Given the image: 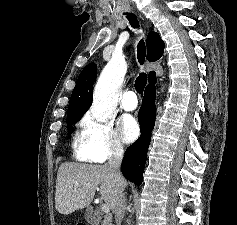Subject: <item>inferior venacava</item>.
Wrapping results in <instances>:
<instances>
[{"label": "inferior vena cava", "instance_id": "602c4592", "mask_svg": "<svg viewBox=\"0 0 237 225\" xmlns=\"http://www.w3.org/2000/svg\"><path fill=\"white\" fill-rule=\"evenodd\" d=\"M111 150L112 155L109 157L107 167L111 171L118 188L114 214L116 225H121L126 209V199L123 193L124 179L120 172V165L123 159V146L116 142L112 144Z\"/></svg>", "mask_w": 237, "mask_h": 225}]
</instances>
